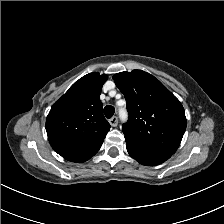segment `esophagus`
Returning a JSON list of instances; mask_svg holds the SVG:
<instances>
[{
	"label": "esophagus",
	"mask_w": 224,
	"mask_h": 224,
	"mask_svg": "<svg viewBox=\"0 0 224 224\" xmlns=\"http://www.w3.org/2000/svg\"><path fill=\"white\" fill-rule=\"evenodd\" d=\"M109 123L112 127H116L118 124V118L117 116H113L111 119H109Z\"/></svg>",
	"instance_id": "obj_1"
}]
</instances>
